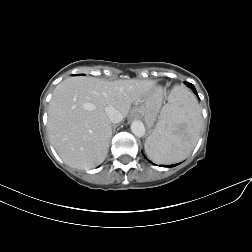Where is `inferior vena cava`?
Masks as SVG:
<instances>
[{"label": "inferior vena cava", "mask_w": 252, "mask_h": 252, "mask_svg": "<svg viewBox=\"0 0 252 252\" xmlns=\"http://www.w3.org/2000/svg\"><path fill=\"white\" fill-rule=\"evenodd\" d=\"M105 112L112 123H118L123 119L122 114L112 106L105 107Z\"/></svg>", "instance_id": "inferior-vena-cava-1"}]
</instances>
